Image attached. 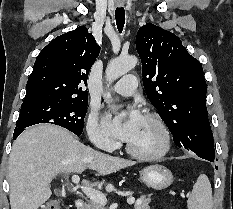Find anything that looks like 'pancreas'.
Instances as JSON below:
<instances>
[{"instance_id": "obj_1", "label": "pancreas", "mask_w": 233, "mask_h": 209, "mask_svg": "<svg viewBox=\"0 0 233 209\" xmlns=\"http://www.w3.org/2000/svg\"><path fill=\"white\" fill-rule=\"evenodd\" d=\"M150 195L149 196H142L138 202L134 205L135 209H150ZM85 209H105L103 204L96 203L90 200L86 205Z\"/></svg>"}]
</instances>
